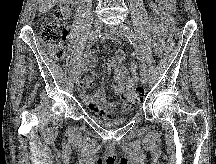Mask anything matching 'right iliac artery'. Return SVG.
<instances>
[{
    "label": "right iliac artery",
    "instance_id": "1",
    "mask_svg": "<svg viewBox=\"0 0 216 164\" xmlns=\"http://www.w3.org/2000/svg\"><path fill=\"white\" fill-rule=\"evenodd\" d=\"M100 36L101 35H100L99 31L92 32L91 37L89 38L88 46L87 47L90 48L93 45V43L99 39ZM76 71L79 73L81 71L80 67H78V69Z\"/></svg>",
    "mask_w": 216,
    "mask_h": 164
}]
</instances>
